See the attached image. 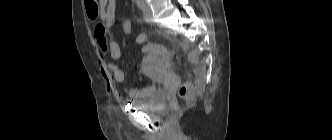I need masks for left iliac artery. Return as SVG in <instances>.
I'll use <instances>...</instances> for the list:
<instances>
[{
    "label": "left iliac artery",
    "mask_w": 332,
    "mask_h": 140,
    "mask_svg": "<svg viewBox=\"0 0 332 140\" xmlns=\"http://www.w3.org/2000/svg\"><path fill=\"white\" fill-rule=\"evenodd\" d=\"M136 3H137V5H138L139 8L142 7V0H136Z\"/></svg>",
    "instance_id": "left-iliac-artery-1"
}]
</instances>
